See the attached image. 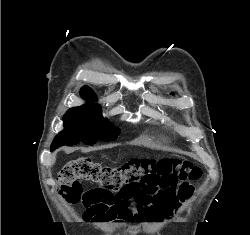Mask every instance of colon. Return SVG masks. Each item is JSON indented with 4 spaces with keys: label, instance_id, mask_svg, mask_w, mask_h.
<instances>
[{
    "label": "colon",
    "instance_id": "colon-1",
    "mask_svg": "<svg viewBox=\"0 0 250 235\" xmlns=\"http://www.w3.org/2000/svg\"><path fill=\"white\" fill-rule=\"evenodd\" d=\"M201 175L198 166L184 159H133L113 167L92 157H79L68 161L60 170L59 194L68 204L81 201L86 208L85 217L90 221L145 222L141 213L130 208L139 191L176 187L179 197L185 199L193 194L192 183ZM80 181L97 183L100 187L83 194Z\"/></svg>",
    "mask_w": 250,
    "mask_h": 235
}]
</instances>
